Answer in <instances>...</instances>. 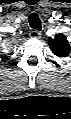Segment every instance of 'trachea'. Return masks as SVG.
<instances>
[{"label":"trachea","mask_w":71,"mask_h":119,"mask_svg":"<svg viewBox=\"0 0 71 119\" xmlns=\"http://www.w3.org/2000/svg\"><path fill=\"white\" fill-rule=\"evenodd\" d=\"M28 19H29V24L33 29H35L37 31L41 30V28H42L41 20L36 13L30 14Z\"/></svg>","instance_id":"trachea-1"}]
</instances>
